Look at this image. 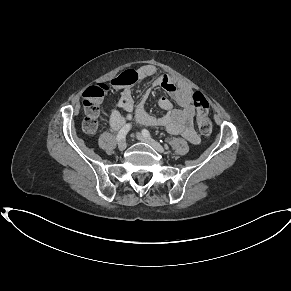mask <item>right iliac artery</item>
Wrapping results in <instances>:
<instances>
[{
  "label": "right iliac artery",
  "instance_id": "82829eb1",
  "mask_svg": "<svg viewBox=\"0 0 291 291\" xmlns=\"http://www.w3.org/2000/svg\"><path fill=\"white\" fill-rule=\"evenodd\" d=\"M131 128V124L124 125L117 134V141L124 139Z\"/></svg>",
  "mask_w": 291,
  "mask_h": 291
}]
</instances>
